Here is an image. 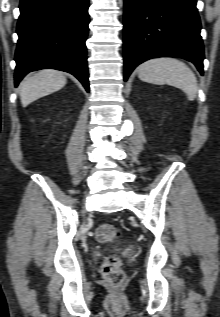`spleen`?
I'll return each mask as SVG.
<instances>
[{"instance_id": "3e777b00", "label": "spleen", "mask_w": 220, "mask_h": 317, "mask_svg": "<svg viewBox=\"0 0 220 317\" xmlns=\"http://www.w3.org/2000/svg\"><path fill=\"white\" fill-rule=\"evenodd\" d=\"M139 78L148 83L169 84L182 89L193 100L198 91L193 71L182 61L172 57H158L138 67Z\"/></svg>"}]
</instances>
